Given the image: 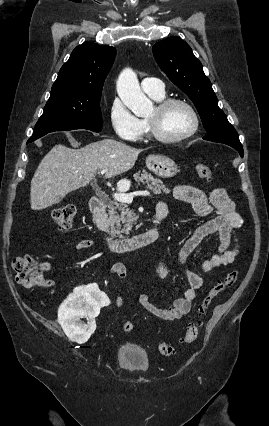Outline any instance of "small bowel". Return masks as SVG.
<instances>
[{
	"instance_id": "1",
	"label": "small bowel",
	"mask_w": 269,
	"mask_h": 426,
	"mask_svg": "<svg viewBox=\"0 0 269 426\" xmlns=\"http://www.w3.org/2000/svg\"><path fill=\"white\" fill-rule=\"evenodd\" d=\"M172 196L179 201L190 204L195 213L206 220L199 225L192 234L184 242L178 264L183 266L187 258L199 246L201 241L209 235L217 234L220 240L218 251L203 263L202 270L210 273L215 268L226 266L235 261L240 253V246L232 241V231L241 228L244 224L243 218L236 211L234 202L228 196L223 188H215L208 194L193 186L178 185L172 189ZM166 207L163 202H159L157 207ZM156 207V208H157ZM215 212V216H211ZM94 245L91 239L80 240L75 244V248L79 250L89 249ZM44 272L51 270V263L46 261L42 263ZM109 272L117 276L120 280H127L126 266L121 262L111 265ZM156 272L159 277H166L168 271L166 267L158 262L156 264ZM189 287L185 290L184 295L177 298L169 307H162L155 303L147 294L138 296V303L154 317L173 321L182 318L191 311L192 303L197 299L198 290L204 285L202 276L191 272L184 271ZM53 281L45 280L43 287L51 288ZM115 304L118 307L125 306V299L122 297L115 298Z\"/></svg>"
}]
</instances>
